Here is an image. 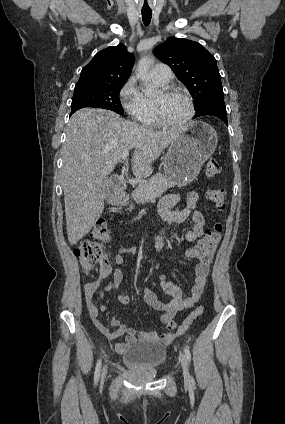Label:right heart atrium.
I'll list each match as a JSON object with an SVG mask.
<instances>
[{"instance_id":"right-heart-atrium-1","label":"right heart atrium","mask_w":285,"mask_h":424,"mask_svg":"<svg viewBox=\"0 0 285 424\" xmlns=\"http://www.w3.org/2000/svg\"><path fill=\"white\" fill-rule=\"evenodd\" d=\"M123 110L133 120L142 122L146 113V97L140 90L135 77H130L119 91Z\"/></svg>"}]
</instances>
